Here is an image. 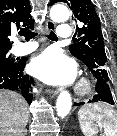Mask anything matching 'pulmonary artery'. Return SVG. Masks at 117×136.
I'll use <instances>...</instances> for the list:
<instances>
[{
    "label": "pulmonary artery",
    "mask_w": 117,
    "mask_h": 136,
    "mask_svg": "<svg viewBox=\"0 0 117 136\" xmlns=\"http://www.w3.org/2000/svg\"><path fill=\"white\" fill-rule=\"evenodd\" d=\"M57 35L61 39H70L74 36V31L68 24H62L59 26ZM37 47L36 43H27L20 47L15 48V53L18 55H25L34 51Z\"/></svg>",
    "instance_id": "1"
}]
</instances>
